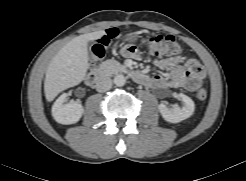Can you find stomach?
<instances>
[{"instance_id": "1", "label": "stomach", "mask_w": 246, "mask_h": 181, "mask_svg": "<svg viewBox=\"0 0 246 181\" xmlns=\"http://www.w3.org/2000/svg\"><path fill=\"white\" fill-rule=\"evenodd\" d=\"M138 38V36H137V34H130V35H128V37H127V40H136Z\"/></svg>"}]
</instances>
